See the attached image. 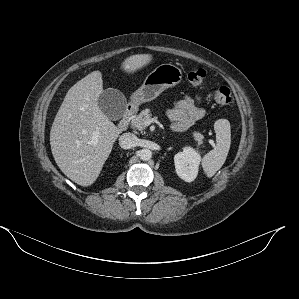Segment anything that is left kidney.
I'll list each match as a JSON object with an SVG mask.
<instances>
[{
    "mask_svg": "<svg viewBox=\"0 0 299 299\" xmlns=\"http://www.w3.org/2000/svg\"><path fill=\"white\" fill-rule=\"evenodd\" d=\"M200 154L192 147H185L174 156L177 175L186 182H192L198 174Z\"/></svg>",
    "mask_w": 299,
    "mask_h": 299,
    "instance_id": "left-kidney-1",
    "label": "left kidney"
}]
</instances>
